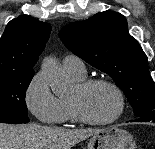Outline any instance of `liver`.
I'll use <instances>...</instances> for the list:
<instances>
[{
    "label": "liver",
    "mask_w": 155,
    "mask_h": 149,
    "mask_svg": "<svg viewBox=\"0 0 155 149\" xmlns=\"http://www.w3.org/2000/svg\"><path fill=\"white\" fill-rule=\"evenodd\" d=\"M103 129H62L29 123L0 124V149H71Z\"/></svg>",
    "instance_id": "liver-1"
}]
</instances>
